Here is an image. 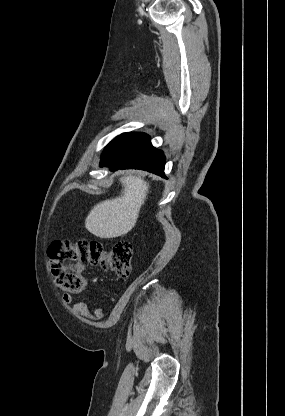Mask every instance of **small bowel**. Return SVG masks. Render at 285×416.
I'll list each match as a JSON object with an SVG mask.
<instances>
[{"label": "small bowel", "instance_id": "obj_1", "mask_svg": "<svg viewBox=\"0 0 285 416\" xmlns=\"http://www.w3.org/2000/svg\"><path fill=\"white\" fill-rule=\"evenodd\" d=\"M65 304H71L72 302V295L70 293H65L62 298ZM95 302L97 304L96 308L93 312L89 310V307L84 302H77L71 306V312L75 315H80L88 321L96 322L100 321L104 318L105 314L103 309L100 307L102 303V299L96 297Z\"/></svg>", "mask_w": 285, "mask_h": 416}]
</instances>
